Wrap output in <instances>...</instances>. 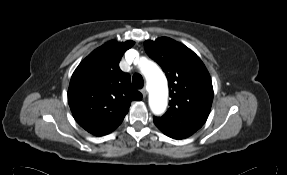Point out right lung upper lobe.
Wrapping results in <instances>:
<instances>
[{
    "instance_id": "right-lung-upper-lobe-1",
    "label": "right lung upper lobe",
    "mask_w": 287,
    "mask_h": 175,
    "mask_svg": "<svg viewBox=\"0 0 287 175\" xmlns=\"http://www.w3.org/2000/svg\"><path fill=\"white\" fill-rule=\"evenodd\" d=\"M134 41H109L89 54L74 71L68 103L76 122L89 133L102 136L123 121L132 101L142 94L131 85V77L119 68L125 51Z\"/></svg>"
}]
</instances>
